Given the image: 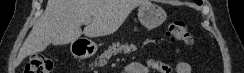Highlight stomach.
<instances>
[{
    "mask_svg": "<svg viewBox=\"0 0 244 73\" xmlns=\"http://www.w3.org/2000/svg\"><path fill=\"white\" fill-rule=\"evenodd\" d=\"M166 17L165 11L160 6L148 1L138 9V18L141 24L148 29L158 27L166 20ZM94 49H96L95 46Z\"/></svg>",
    "mask_w": 244,
    "mask_h": 73,
    "instance_id": "obj_1",
    "label": "stomach"
}]
</instances>
